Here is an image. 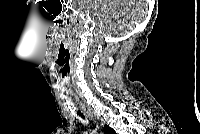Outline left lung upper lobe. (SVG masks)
<instances>
[{
  "label": "left lung upper lobe",
  "mask_w": 200,
  "mask_h": 134,
  "mask_svg": "<svg viewBox=\"0 0 200 134\" xmlns=\"http://www.w3.org/2000/svg\"><path fill=\"white\" fill-rule=\"evenodd\" d=\"M104 132H106L107 134H115V131L107 125L104 126Z\"/></svg>",
  "instance_id": "5c2ea615"
}]
</instances>
